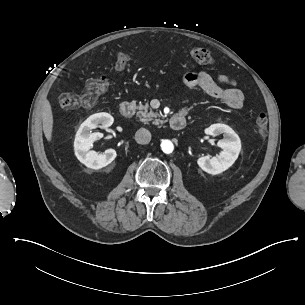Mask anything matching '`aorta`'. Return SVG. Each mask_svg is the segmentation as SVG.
<instances>
[{
  "mask_svg": "<svg viewBox=\"0 0 305 305\" xmlns=\"http://www.w3.org/2000/svg\"><path fill=\"white\" fill-rule=\"evenodd\" d=\"M161 149L164 153L170 154L174 150V145L170 140H162Z\"/></svg>",
  "mask_w": 305,
  "mask_h": 305,
  "instance_id": "762f6f07",
  "label": "aorta"
}]
</instances>
